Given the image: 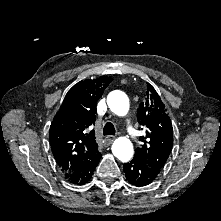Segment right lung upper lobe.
Wrapping results in <instances>:
<instances>
[{"mask_svg": "<svg viewBox=\"0 0 221 221\" xmlns=\"http://www.w3.org/2000/svg\"><path fill=\"white\" fill-rule=\"evenodd\" d=\"M113 79L101 76L75 84L66 94L50 126L52 153L63 174L79 168L97 151L95 124L97 102Z\"/></svg>", "mask_w": 221, "mask_h": 221, "instance_id": "obj_1", "label": "right lung upper lobe"}]
</instances>
